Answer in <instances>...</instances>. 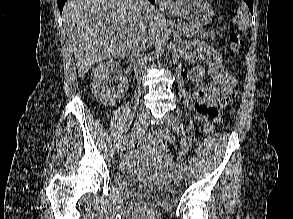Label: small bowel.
<instances>
[{"mask_svg":"<svg viewBox=\"0 0 293 219\" xmlns=\"http://www.w3.org/2000/svg\"><path fill=\"white\" fill-rule=\"evenodd\" d=\"M191 49L207 65L212 81L192 93L189 97V102L198 113L197 119L200 122L204 123V125L207 123L214 125L220 119L219 109L229 103L237 82L222 63L210 60V50L206 44L192 43ZM179 77L180 80L184 81L188 79L189 73L182 71ZM200 107L207 108V112H201ZM152 139L153 135H149L141 142L134 141L133 146L135 149H140L143 145L151 142Z\"/></svg>","mask_w":293,"mask_h":219,"instance_id":"1","label":"small bowel"}]
</instances>
